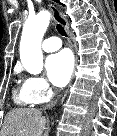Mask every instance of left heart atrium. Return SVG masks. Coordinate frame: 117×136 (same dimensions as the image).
I'll return each mask as SVG.
<instances>
[{"instance_id": "left-heart-atrium-1", "label": "left heart atrium", "mask_w": 117, "mask_h": 136, "mask_svg": "<svg viewBox=\"0 0 117 136\" xmlns=\"http://www.w3.org/2000/svg\"><path fill=\"white\" fill-rule=\"evenodd\" d=\"M73 68L74 59L69 50L52 54L46 61L49 79L57 87H63L69 82Z\"/></svg>"}]
</instances>
